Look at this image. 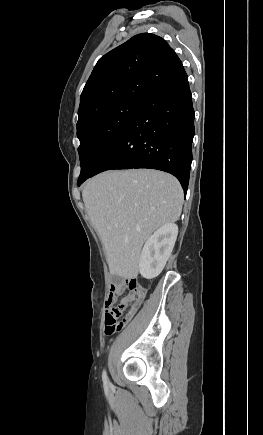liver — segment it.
I'll return each mask as SVG.
<instances>
[{"label":"liver","mask_w":263,"mask_h":435,"mask_svg":"<svg viewBox=\"0 0 263 435\" xmlns=\"http://www.w3.org/2000/svg\"><path fill=\"white\" fill-rule=\"evenodd\" d=\"M82 197L110 274L125 279L137 277L144 242L164 224L176 222L183 204L179 181L149 169L103 172L85 184Z\"/></svg>","instance_id":"liver-1"}]
</instances>
